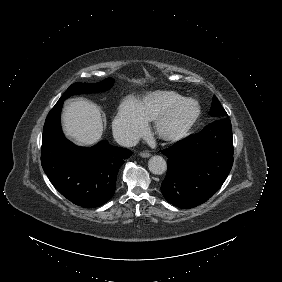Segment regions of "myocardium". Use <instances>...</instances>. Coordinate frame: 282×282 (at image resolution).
I'll return each mask as SVG.
<instances>
[{"label":"myocardium","instance_id":"myocardium-1","mask_svg":"<svg viewBox=\"0 0 282 282\" xmlns=\"http://www.w3.org/2000/svg\"><path fill=\"white\" fill-rule=\"evenodd\" d=\"M188 102H193L190 98L183 97L178 101L170 104L156 119L155 130L157 135L164 141L175 142L185 137L192 127L199 121L200 110L198 109L196 115L186 120L177 128L169 130L167 129V123L170 117L179 110L183 105Z\"/></svg>","mask_w":282,"mask_h":282}]
</instances>
